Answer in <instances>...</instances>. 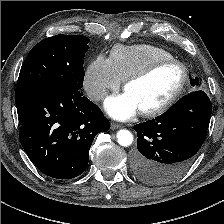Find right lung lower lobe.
I'll use <instances>...</instances> for the list:
<instances>
[{"mask_svg": "<svg viewBox=\"0 0 224 224\" xmlns=\"http://www.w3.org/2000/svg\"><path fill=\"white\" fill-rule=\"evenodd\" d=\"M16 106L21 144L34 165L52 178L82 174L95 136L110 127L100 108L82 92L42 90Z\"/></svg>", "mask_w": 224, "mask_h": 224, "instance_id": "1", "label": "right lung lower lobe"}]
</instances>
